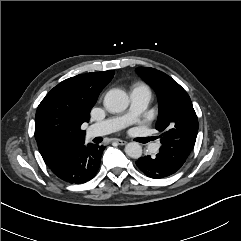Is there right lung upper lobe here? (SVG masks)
I'll list each match as a JSON object with an SVG mask.
<instances>
[{"mask_svg":"<svg viewBox=\"0 0 241 241\" xmlns=\"http://www.w3.org/2000/svg\"><path fill=\"white\" fill-rule=\"evenodd\" d=\"M113 75V70L80 74L45 96L35 116V139L44 161L67 145L84 142L81 125L89 121L91 108Z\"/></svg>","mask_w":241,"mask_h":241,"instance_id":"obj_1","label":"right lung upper lobe"}]
</instances>
